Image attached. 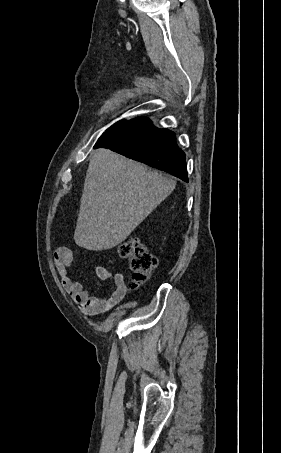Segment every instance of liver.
Returning a JSON list of instances; mask_svg holds the SVG:
<instances>
[{
    "instance_id": "1",
    "label": "liver",
    "mask_w": 281,
    "mask_h": 453,
    "mask_svg": "<svg viewBox=\"0 0 281 453\" xmlns=\"http://www.w3.org/2000/svg\"><path fill=\"white\" fill-rule=\"evenodd\" d=\"M176 180L146 170L108 148L92 152L87 168L74 241L87 251L123 243L138 224L171 194Z\"/></svg>"
}]
</instances>
